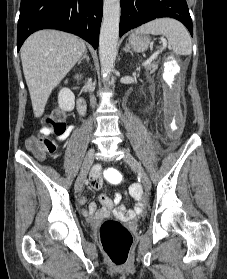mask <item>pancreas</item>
Returning a JSON list of instances; mask_svg holds the SVG:
<instances>
[{"mask_svg":"<svg viewBox=\"0 0 227 279\" xmlns=\"http://www.w3.org/2000/svg\"><path fill=\"white\" fill-rule=\"evenodd\" d=\"M157 68H158V63L156 62L150 63L145 66V69L149 74H153L157 70Z\"/></svg>","mask_w":227,"mask_h":279,"instance_id":"1","label":"pancreas"}]
</instances>
